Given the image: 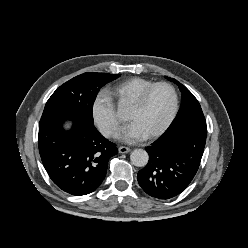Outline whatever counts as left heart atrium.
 Wrapping results in <instances>:
<instances>
[{
  "instance_id": "1",
  "label": "left heart atrium",
  "mask_w": 248,
  "mask_h": 248,
  "mask_svg": "<svg viewBox=\"0 0 248 248\" xmlns=\"http://www.w3.org/2000/svg\"><path fill=\"white\" fill-rule=\"evenodd\" d=\"M145 137L146 136L134 124L128 125L120 135V138L128 143H134L143 140Z\"/></svg>"
}]
</instances>
